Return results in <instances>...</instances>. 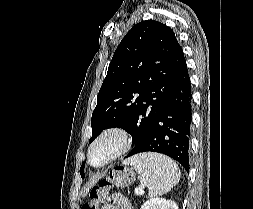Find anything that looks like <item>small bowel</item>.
<instances>
[{
	"label": "small bowel",
	"instance_id": "obj_1",
	"mask_svg": "<svg viewBox=\"0 0 253 209\" xmlns=\"http://www.w3.org/2000/svg\"><path fill=\"white\" fill-rule=\"evenodd\" d=\"M103 209H133L130 201L120 194L113 196V205H106Z\"/></svg>",
	"mask_w": 253,
	"mask_h": 209
}]
</instances>
